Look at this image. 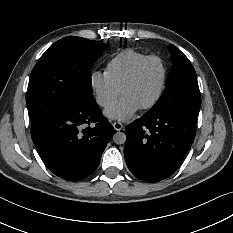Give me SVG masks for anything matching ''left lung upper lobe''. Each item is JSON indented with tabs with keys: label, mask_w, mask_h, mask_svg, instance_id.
<instances>
[{
	"label": "left lung upper lobe",
	"mask_w": 233,
	"mask_h": 233,
	"mask_svg": "<svg viewBox=\"0 0 233 233\" xmlns=\"http://www.w3.org/2000/svg\"><path fill=\"white\" fill-rule=\"evenodd\" d=\"M171 72L166 80L165 90L147 116H163L172 113L198 115L201 95L195 70L188 58L174 45L169 46Z\"/></svg>",
	"instance_id": "left-lung-upper-lobe-1"
}]
</instances>
